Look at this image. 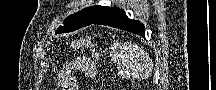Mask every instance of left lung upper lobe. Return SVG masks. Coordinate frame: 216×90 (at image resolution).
<instances>
[{"label": "left lung upper lobe", "mask_w": 216, "mask_h": 90, "mask_svg": "<svg viewBox=\"0 0 216 90\" xmlns=\"http://www.w3.org/2000/svg\"><path fill=\"white\" fill-rule=\"evenodd\" d=\"M117 8L92 6L67 17L56 33H68L103 19Z\"/></svg>", "instance_id": "5c2ea615"}]
</instances>
